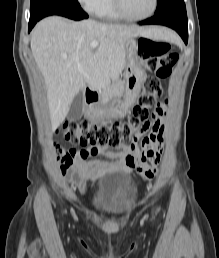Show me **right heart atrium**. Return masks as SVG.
<instances>
[{
	"label": "right heart atrium",
	"instance_id": "right-heart-atrium-1",
	"mask_svg": "<svg viewBox=\"0 0 219 258\" xmlns=\"http://www.w3.org/2000/svg\"><path fill=\"white\" fill-rule=\"evenodd\" d=\"M104 0H78L83 9L91 14L97 13Z\"/></svg>",
	"mask_w": 219,
	"mask_h": 258
}]
</instances>
